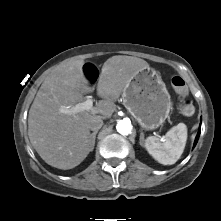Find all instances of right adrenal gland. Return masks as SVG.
<instances>
[{
  "mask_svg": "<svg viewBox=\"0 0 221 221\" xmlns=\"http://www.w3.org/2000/svg\"><path fill=\"white\" fill-rule=\"evenodd\" d=\"M98 131H95L91 134V137H92V142H93V148L94 149V145H95V139H96V135H97Z\"/></svg>",
  "mask_w": 221,
  "mask_h": 221,
  "instance_id": "obj_1",
  "label": "right adrenal gland"
}]
</instances>
